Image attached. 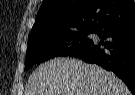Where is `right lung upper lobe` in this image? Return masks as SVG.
<instances>
[{
    "label": "right lung upper lobe",
    "mask_w": 135,
    "mask_h": 95,
    "mask_svg": "<svg viewBox=\"0 0 135 95\" xmlns=\"http://www.w3.org/2000/svg\"><path fill=\"white\" fill-rule=\"evenodd\" d=\"M135 15L132 0H44L31 36L95 30L105 22Z\"/></svg>",
    "instance_id": "right-lung-upper-lobe-1"
}]
</instances>
